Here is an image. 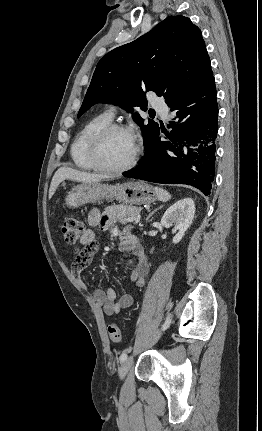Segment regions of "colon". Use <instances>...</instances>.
<instances>
[{
    "label": "colon",
    "instance_id": "5ec220e1",
    "mask_svg": "<svg viewBox=\"0 0 262 431\" xmlns=\"http://www.w3.org/2000/svg\"><path fill=\"white\" fill-rule=\"evenodd\" d=\"M86 224L84 220L78 217H69L65 220L62 227L63 241L67 246H74L79 243L81 236L85 233ZM85 250H81L82 253ZM108 337L113 342H119L121 339L120 329L117 324L110 323L107 325Z\"/></svg>",
    "mask_w": 262,
    "mask_h": 431
}]
</instances>
